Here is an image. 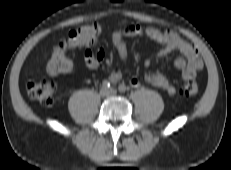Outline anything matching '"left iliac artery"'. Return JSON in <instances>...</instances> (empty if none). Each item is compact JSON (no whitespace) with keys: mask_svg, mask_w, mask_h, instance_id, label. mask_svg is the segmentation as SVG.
<instances>
[{"mask_svg":"<svg viewBox=\"0 0 231 170\" xmlns=\"http://www.w3.org/2000/svg\"><path fill=\"white\" fill-rule=\"evenodd\" d=\"M127 87L124 84H120L118 86V90L120 93H124L126 91Z\"/></svg>","mask_w":231,"mask_h":170,"instance_id":"1","label":"left iliac artery"}]
</instances>
